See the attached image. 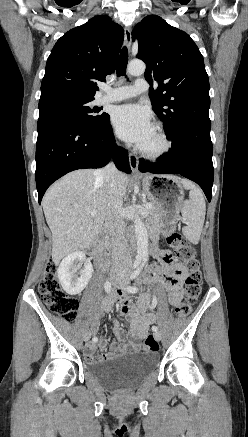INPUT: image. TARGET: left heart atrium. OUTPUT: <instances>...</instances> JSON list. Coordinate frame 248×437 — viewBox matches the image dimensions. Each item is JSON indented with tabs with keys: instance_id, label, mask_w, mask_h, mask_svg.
Here are the masks:
<instances>
[{
	"instance_id": "obj_1",
	"label": "left heart atrium",
	"mask_w": 248,
	"mask_h": 437,
	"mask_svg": "<svg viewBox=\"0 0 248 437\" xmlns=\"http://www.w3.org/2000/svg\"><path fill=\"white\" fill-rule=\"evenodd\" d=\"M112 123L122 139L138 145L154 129L150 113L138 104H126L115 108L112 114Z\"/></svg>"
}]
</instances>
